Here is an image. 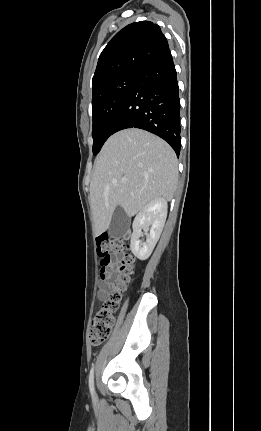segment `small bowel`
Segmentation results:
<instances>
[{"label": "small bowel", "instance_id": "c3829d8e", "mask_svg": "<svg viewBox=\"0 0 261 431\" xmlns=\"http://www.w3.org/2000/svg\"><path fill=\"white\" fill-rule=\"evenodd\" d=\"M115 275V267L109 266L101 270L100 281L98 285V298L105 300L110 293Z\"/></svg>", "mask_w": 261, "mask_h": 431}]
</instances>
